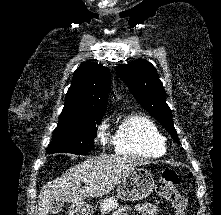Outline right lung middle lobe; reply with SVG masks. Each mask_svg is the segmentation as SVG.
I'll list each match as a JSON object with an SVG mask.
<instances>
[{
  "label": "right lung middle lobe",
  "instance_id": "right-lung-middle-lobe-1",
  "mask_svg": "<svg viewBox=\"0 0 221 215\" xmlns=\"http://www.w3.org/2000/svg\"><path fill=\"white\" fill-rule=\"evenodd\" d=\"M101 120L102 116L61 113L47 153L68 152L80 155L91 151L96 137V125Z\"/></svg>",
  "mask_w": 221,
  "mask_h": 215
}]
</instances>
